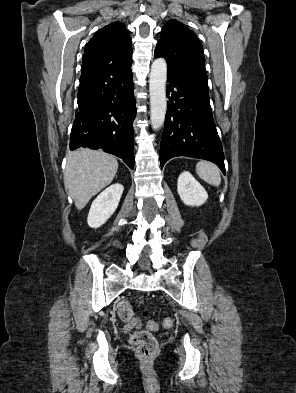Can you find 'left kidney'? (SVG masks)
I'll return each mask as SVG.
<instances>
[{
    "instance_id": "obj_1",
    "label": "left kidney",
    "mask_w": 296,
    "mask_h": 393,
    "mask_svg": "<svg viewBox=\"0 0 296 393\" xmlns=\"http://www.w3.org/2000/svg\"><path fill=\"white\" fill-rule=\"evenodd\" d=\"M177 191L181 200L187 206H201L208 199L205 189L188 171L179 175Z\"/></svg>"
}]
</instances>
